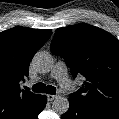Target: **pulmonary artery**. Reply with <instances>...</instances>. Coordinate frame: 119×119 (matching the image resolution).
Wrapping results in <instances>:
<instances>
[{"instance_id":"e3ab8cb5","label":"pulmonary artery","mask_w":119,"mask_h":119,"mask_svg":"<svg viewBox=\"0 0 119 119\" xmlns=\"http://www.w3.org/2000/svg\"><path fill=\"white\" fill-rule=\"evenodd\" d=\"M51 76L59 82L63 89H71L72 84L67 76L66 66L64 63L57 62L52 70Z\"/></svg>"}]
</instances>
